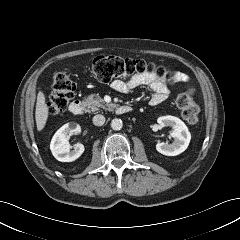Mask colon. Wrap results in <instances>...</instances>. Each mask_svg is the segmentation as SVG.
<instances>
[{
  "instance_id": "5ec220e1",
  "label": "colon",
  "mask_w": 240,
  "mask_h": 240,
  "mask_svg": "<svg viewBox=\"0 0 240 240\" xmlns=\"http://www.w3.org/2000/svg\"><path fill=\"white\" fill-rule=\"evenodd\" d=\"M91 72L102 83H110L115 79H130L141 74H155L169 82H175V73L164 67L156 66L152 62L142 59L121 58L112 55H102L93 59ZM76 85L64 72H56L52 77V94L47 104L48 113L52 116L60 115L75 95ZM194 89L178 95L176 104L183 118L188 123H196L199 107L194 100Z\"/></svg>"
}]
</instances>
